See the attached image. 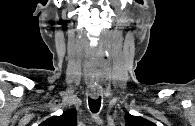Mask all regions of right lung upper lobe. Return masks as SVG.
Returning <instances> with one entry per match:
<instances>
[{
    "instance_id": "1",
    "label": "right lung upper lobe",
    "mask_w": 195,
    "mask_h": 126,
    "mask_svg": "<svg viewBox=\"0 0 195 126\" xmlns=\"http://www.w3.org/2000/svg\"><path fill=\"white\" fill-rule=\"evenodd\" d=\"M76 111L70 109L61 116H53L42 122L39 126H76Z\"/></svg>"
}]
</instances>
